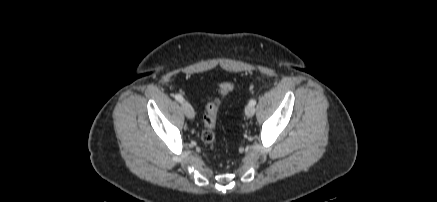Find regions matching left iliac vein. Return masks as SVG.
I'll list each match as a JSON object with an SVG mask.
<instances>
[{"mask_svg": "<svg viewBox=\"0 0 437 202\" xmlns=\"http://www.w3.org/2000/svg\"><path fill=\"white\" fill-rule=\"evenodd\" d=\"M255 113V107L252 105H247L245 108V114L247 117H252Z\"/></svg>", "mask_w": 437, "mask_h": 202, "instance_id": "4c4485c4", "label": "left iliac vein"}]
</instances>
